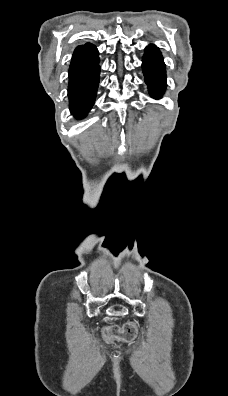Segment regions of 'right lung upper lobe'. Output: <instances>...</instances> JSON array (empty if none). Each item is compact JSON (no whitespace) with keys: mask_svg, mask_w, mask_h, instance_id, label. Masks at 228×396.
<instances>
[{"mask_svg":"<svg viewBox=\"0 0 228 396\" xmlns=\"http://www.w3.org/2000/svg\"><path fill=\"white\" fill-rule=\"evenodd\" d=\"M86 45H87V46H91V44H90V43H87Z\"/></svg>","mask_w":228,"mask_h":396,"instance_id":"right-lung-upper-lobe-1","label":"right lung upper lobe"}]
</instances>
